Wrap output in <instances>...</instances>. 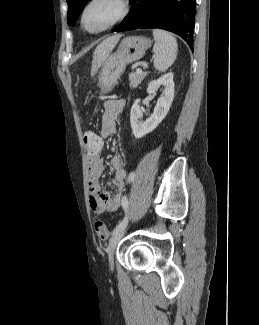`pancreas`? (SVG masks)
I'll list each match as a JSON object with an SVG mask.
<instances>
[{"instance_id": "pancreas-1", "label": "pancreas", "mask_w": 259, "mask_h": 325, "mask_svg": "<svg viewBox=\"0 0 259 325\" xmlns=\"http://www.w3.org/2000/svg\"><path fill=\"white\" fill-rule=\"evenodd\" d=\"M147 73L146 72H132L129 74V85L131 88H136L146 77Z\"/></svg>"}]
</instances>
